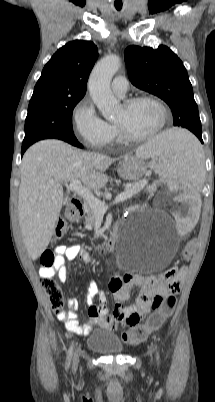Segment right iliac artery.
Returning <instances> with one entry per match:
<instances>
[{"instance_id":"right-iliac-artery-1","label":"right iliac artery","mask_w":215,"mask_h":402,"mask_svg":"<svg viewBox=\"0 0 215 402\" xmlns=\"http://www.w3.org/2000/svg\"><path fill=\"white\" fill-rule=\"evenodd\" d=\"M71 355H72V347L68 351V356H67V367H69L70 360H71Z\"/></svg>"}]
</instances>
